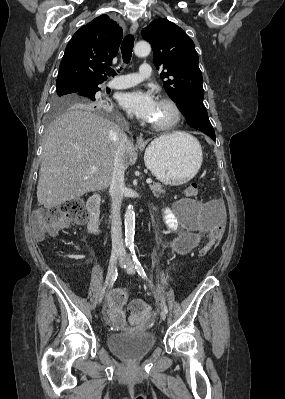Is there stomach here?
Segmentation results:
<instances>
[{"label":"stomach","instance_id":"stomach-1","mask_svg":"<svg viewBox=\"0 0 285 399\" xmlns=\"http://www.w3.org/2000/svg\"><path fill=\"white\" fill-rule=\"evenodd\" d=\"M144 161L159 181L176 186L196 175L202 164V150L188 134L178 139L159 137L146 148Z\"/></svg>","mask_w":285,"mask_h":399}]
</instances>
